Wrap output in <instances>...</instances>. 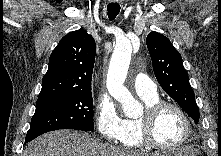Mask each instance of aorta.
Returning a JSON list of instances; mask_svg holds the SVG:
<instances>
[{
  "label": "aorta",
  "instance_id": "obj_1",
  "mask_svg": "<svg viewBox=\"0 0 221 156\" xmlns=\"http://www.w3.org/2000/svg\"><path fill=\"white\" fill-rule=\"evenodd\" d=\"M132 54V43L128 38L116 42L107 74V89L110 95L121 103L124 114L130 118L142 114L141 104L124 86Z\"/></svg>",
  "mask_w": 221,
  "mask_h": 156
}]
</instances>
